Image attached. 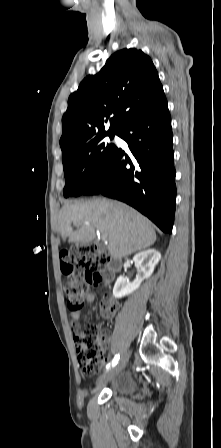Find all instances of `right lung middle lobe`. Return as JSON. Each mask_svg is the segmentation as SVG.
Returning <instances> with one entry per match:
<instances>
[{"label":"right lung middle lobe","instance_id":"1","mask_svg":"<svg viewBox=\"0 0 221 448\" xmlns=\"http://www.w3.org/2000/svg\"><path fill=\"white\" fill-rule=\"evenodd\" d=\"M108 136L112 139L114 134ZM105 137L87 143L78 151L63 159L66 182L63 194L65 197L83 194L106 167L117 146L107 142Z\"/></svg>","mask_w":221,"mask_h":448}]
</instances>
